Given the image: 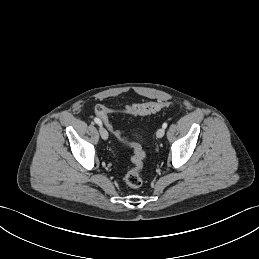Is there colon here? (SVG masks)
Returning <instances> with one entry per match:
<instances>
[{
  "mask_svg": "<svg viewBox=\"0 0 259 259\" xmlns=\"http://www.w3.org/2000/svg\"><path fill=\"white\" fill-rule=\"evenodd\" d=\"M167 104L164 102H149L143 104H136L132 106H125L120 109L109 108L106 106H98L96 109V114L99 117L100 121H102L111 131H113L114 135L123 143L128 144V141L121 135V133L117 130H113L112 125L109 122V115L114 112H123L127 114L133 115H145L154 113ZM134 152L131 158L133 168L127 172L125 175V182L131 188H139L142 183V169L143 162L145 158V151L142 146L138 143L133 144Z\"/></svg>",
  "mask_w": 259,
  "mask_h": 259,
  "instance_id": "1",
  "label": "colon"
}]
</instances>
